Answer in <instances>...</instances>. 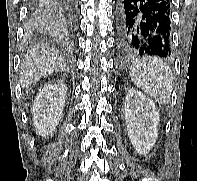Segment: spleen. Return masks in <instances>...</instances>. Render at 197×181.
Here are the masks:
<instances>
[{
	"label": "spleen",
	"mask_w": 197,
	"mask_h": 181,
	"mask_svg": "<svg viewBox=\"0 0 197 181\" xmlns=\"http://www.w3.org/2000/svg\"><path fill=\"white\" fill-rule=\"evenodd\" d=\"M131 80L158 103H168L172 92L169 65L156 57L136 60L129 68Z\"/></svg>",
	"instance_id": "spleen-1"
}]
</instances>
